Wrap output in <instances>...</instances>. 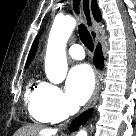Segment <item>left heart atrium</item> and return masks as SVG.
<instances>
[{
  "mask_svg": "<svg viewBox=\"0 0 136 136\" xmlns=\"http://www.w3.org/2000/svg\"><path fill=\"white\" fill-rule=\"evenodd\" d=\"M94 74L85 64L73 67L67 78V93L70 101L75 105L84 104L94 89Z\"/></svg>",
  "mask_w": 136,
  "mask_h": 136,
  "instance_id": "39dd6f15",
  "label": "left heart atrium"
}]
</instances>
